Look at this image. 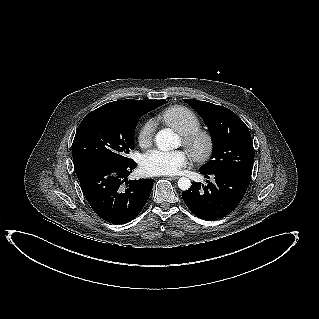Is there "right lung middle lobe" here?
Returning a JSON list of instances; mask_svg holds the SVG:
<instances>
[{"label":"right lung middle lobe","instance_id":"right-lung-middle-lobe-1","mask_svg":"<svg viewBox=\"0 0 319 319\" xmlns=\"http://www.w3.org/2000/svg\"><path fill=\"white\" fill-rule=\"evenodd\" d=\"M167 103L99 107L80 123L72 146L75 172L96 163L127 164L134 148V130L140 117Z\"/></svg>","mask_w":319,"mask_h":319}]
</instances>
